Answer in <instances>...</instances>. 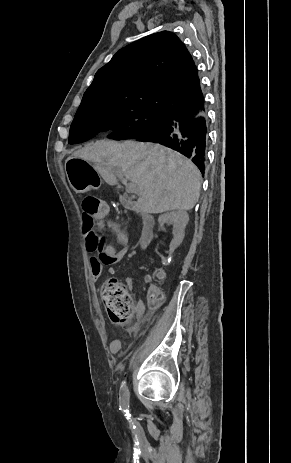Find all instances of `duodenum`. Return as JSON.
I'll list each match as a JSON object with an SVG mask.
<instances>
[{
    "label": "duodenum",
    "instance_id": "obj_1",
    "mask_svg": "<svg viewBox=\"0 0 291 463\" xmlns=\"http://www.w3.org/2000/svg\"><path fill=\"white\" fill-rule=\"evenodd\" d=\"M120 201L126 208H129L132 212H137L139 210V205L137 203H132L129 197L125 194L120 195ZM154 227L155 220L149 214L142 215V230L139 239V244L141 248H146L154 237Z\"/></svg>",
    "mask_w": 291,
    "mask_h": 463
}]
</instances>
